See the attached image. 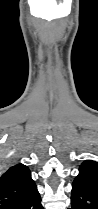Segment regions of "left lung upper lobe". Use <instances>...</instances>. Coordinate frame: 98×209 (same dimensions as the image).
<instances>
[{"label": "left lung upper lobe", "mask_w": 98, "mask_h": 209, "mask_svg": "<svg viewBox=\"0 0 98 209\" xmlns=\"http://www.w3.org/2000/svg\"><path fill=\"white\" fill-rule=\"evenodd\" d=\"M74 182H80L98 189V163L92 160L84 161L79 167V174Z\"/></svg>", "instance_id": "1"}]
</instances>
